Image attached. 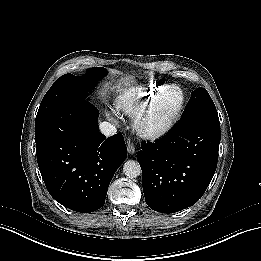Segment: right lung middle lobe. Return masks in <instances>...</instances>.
I'll use <instances>...</instances> for the list:
<instances>
[{
	"label": "right lung middle lobe",
	"instance_id": "right-lung-middle-lobe-1",
	"mask_svg": "<svg viewBox=\"0 0 261 261\" xmlns=\"http://www.w3.org/2000/svg\"><path fill=\"white\" fill-rule=\"evenodd\" d=\"M105 74L104 69L97 67L88 69L86 74L81 77L70 73L61 76L45 94L35 122H39L45 115L71 99H86L88 91Z\"/></svg>",
	"mask_w": 261,
	"mask_h": 261
}]
</instances>
